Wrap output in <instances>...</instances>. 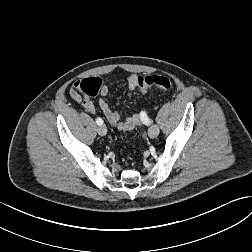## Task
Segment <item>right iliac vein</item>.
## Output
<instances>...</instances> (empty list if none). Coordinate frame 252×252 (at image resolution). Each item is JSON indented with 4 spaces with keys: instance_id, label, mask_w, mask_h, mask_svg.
Listing matches in <instances>:
<instances>
[{
    "instance_id": "63e3f726",
    "label": "right iliac vein",
    "mask_w": 252,
    "mask_h": 252,
    "mask_svg": "<svg viewBox=\"0 0 252 252\" xmlns=\"http://www.w3.org/2000/svg\"><path fill=\"white\" fill-rule=\"evenodd\" d=\"M97 132L99 135L104 136L107 133V128L104 125L98 127Z\"/></svg>"
}]
</instances>
